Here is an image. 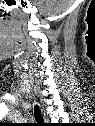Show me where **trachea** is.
<instances>
[{
    "label": "trachea",
    "mask_w": 95,
    "mask_h": 126,
    "mask_svg": "<svg viewBox=\"0 0 95 126\" xmlns=\"http://www.w3.org/2000/svg\"><path fill=\"white\" fill-rule=\"evenodd\" d=\"M34 115H35V120H36L37 124H43L44 123L40 109H39L38 106H35Z\"/></svg>",
    "instance_id": "obj_1"
}]
</instances>
